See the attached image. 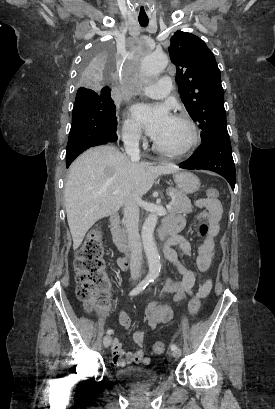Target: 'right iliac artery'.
Returning <instances> with one entry per match:
<instances>
[{"instance_id":"right-iliac-artery-1","label":"right iliac artery","mask_w":275,"mask_h":409,"mask_svg":"<svg viewBox=\"0 0 275 409\" xmlns=\"http://www.w3.org/2000/svg\"><path fill=\"white\" fill-rule=\"evenodd\" d=\"M152 281V279L151 278H149V277H147V278H145L144 280H142L131 292H130V296H134V295H137V294H139L142 290H144L148 285H149V283ZM113 333V331L112 330H108L107 331V334H112Z\"/></svg>"}]
</instances>
